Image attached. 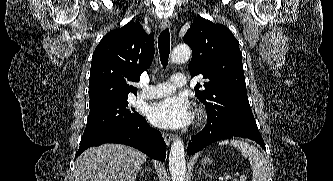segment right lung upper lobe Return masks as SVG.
Returning <instances> with one entry per match:
<instances>
[{
	"instance_id": "obj_1",
	"label": "right lung upper lobe",
	"mask_w": 333,
	"mask_h": 181,
	"mask_svg": "<svg viewBox=\"0 0 333 181\" xmlns=\"http://www.w3.org/2000/svg\"><path fill=\"white\" fill-rule=\"evenodd\" d=\"M154 38L138 23L130 22L107 33L93 56L90 70L89 108L127 99L137 93L131 82L152 63Z\"/></svg>"
}]
</instances>
